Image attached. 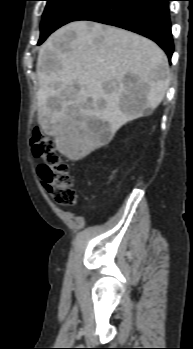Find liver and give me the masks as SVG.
I'll use <instances>...</instances> for the list:
<instances>
[{
    "label": "liver",
    "instance_id": "6515ba94",
    "mask_svg": "<svg viewBox=\"0 0 193 349\" xmlns=\"http://www.w3.org/2000/svg\"><path fill=\"white\" fill-rule=\"evenodd\" d=\"M37 75L38 122L74 161L108 144L127 122L150 114L169 86L167 57L156 43L87 21L71 22L46 40Z\"/></svg>",
    "mask_w": 193,
    "mask_h": 349
}]
</instances>
